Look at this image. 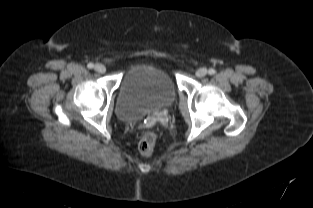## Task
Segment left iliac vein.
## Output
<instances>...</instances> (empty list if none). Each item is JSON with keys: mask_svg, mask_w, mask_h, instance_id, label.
Segmentation results:
<instances>
[{"mask_svg": "<svg viewBox=\"0 0 313 208\" xmlns=\"http://www.w3.org/2000/svg\"><path fill=\"white\" fill-rule=\"evenodd\" d=\"M206 74H207V70L205 68H200L196 71V76L199 78L206 76Z\"/></svg>", "mask_w": 313, "mask_h": 208, "instance_id": "left-iliac-vein-1", "label": "left iliac vein"}]
</instances>
